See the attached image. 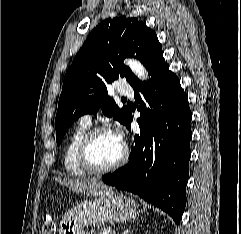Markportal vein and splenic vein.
<instances>
[{"label": "portal vein and splenic vein", "mask_w": 241, "mask_h": 234, "mask_svg": "<svg viewBox=\"0 0 241 234\" xmlns=\"http://www.w3.org/2000/svg\"><path fill=\"white\" fill-rule=\"evenodd\" d=\"M110 233H112V232H110V231H105L104 232V234H110ZM114 234V233H113Z\"/></svg>", "instance_id": "1"}]
</instances>
